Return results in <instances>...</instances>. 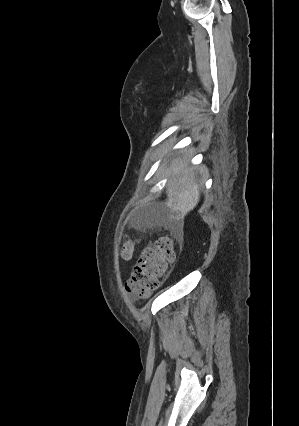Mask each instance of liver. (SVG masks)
I'll use <instances>...</instances> for the list:
<instances>
[{"instance_id": "liver-1", "label": "liver", "mask_w": 299, "mask_h": 426, "mask_svg": "<svg viewBox=\"0 0 299 426\" xmlns=\"http://www.w3.org/2000/svg\"><path fill=\"white\" fill-rule=\"evenodd\" d=\"M188 156L178 157L174 161L172 170L181 173L166 187L167 199L164 204L167 221L170 223L183 222L185 216L192 211L200 199L201 185L195 179L192 169H189Z\"/></svg>"}]
</instances>
